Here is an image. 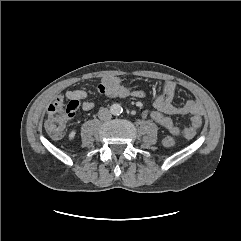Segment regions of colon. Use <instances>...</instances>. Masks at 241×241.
Here are the masks:
<instances>
[{"label": "colon", "instance_id": "colon-1", "mask_svg": "<svg viewBox=\"0 0 241 241\" xmlns=\"http://www.w3.org/2000/svg\"><path fill=\"white\" fill-rule=\"evenodd\" d=\"M97 90L102 93L104 88L102 85L97 86ZM80 107L78 100H71L65 103L62 98H58L56 101L51 103L47 110V118L45 121L46 131L54 138H60L65 130L66 122L75 115L76 111ZM151 119L159 124L161 127L168 130L172 135L179 136L184 139L193 138L199 131L202 120L200 117H192L190 126L186 128H180L174 121L166 114L159 110L152 109L149 111ZM176 141L174 137H167L164 139V145L166 147H174Z\"/></svg>", "mask_w": 241, "mask_h": 241}]
</instances>
